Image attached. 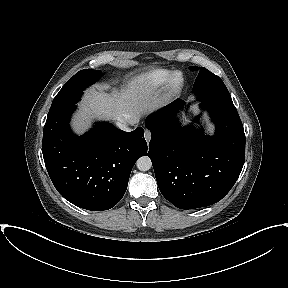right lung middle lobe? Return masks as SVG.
<instances>
[{
  "label": "right lung middle lobe",
  "mask_w": 288,
  "mask_h": 288,
  "mask_svg": "<svg viewBox=\"0 0 288 288\" xmlns=\"http://www.w3.org/2000/svg\"><path fill=\"white\" fill-rule=\"evenodd\" d=\"M100 77V70L84 69L77 72L55 96L47 117L77 103L83 90Z\"/></svg>",
  "instance_id": "dd1d6c3e"
}]
</instances>
